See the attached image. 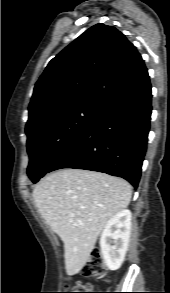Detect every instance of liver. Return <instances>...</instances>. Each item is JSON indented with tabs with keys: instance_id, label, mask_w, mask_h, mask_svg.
I'll return each instance as SVG.
<instances>
[{
	"instance_id": "obj_1",
	"label": "liver",
	"mask_w": 170,
	"mask_h": 293,
	"mask_svg": "<svg viewBox=\"0 0 170 293\" xmlns=\"http://www.w3.org/2000/svg\"><path fill=\"white\" fill-rule=\"evenodd\" d=\"M132 195L122 178L82 169H62L43 178L33 190L40 214L64 243L69 276L84 267L97 238Z\"/></svg>"
}]
</instances>
